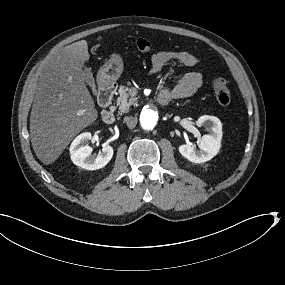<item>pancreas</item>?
Here are the masks:
<instances>
[{
	"mask_svg": "<svg viewBox=\"0 0 285 285\" xmlns=\"http://www.w3.org/2000/svg\"><path fill=\"white\" fill-rule=\"evenodd\" d=\"M119 105V110L122 113L130 112V106L137 102L136 98H129L127 92H124L120 95V98L117 100Z\"/></svg>",
	"mask_w": 285,
	"mask_h": 285,
	"instance_id": "obj_1",
	"label": "pancreas"
}]
</instances>
